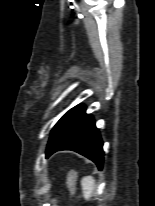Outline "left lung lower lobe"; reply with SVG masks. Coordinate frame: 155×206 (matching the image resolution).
I'll list each match as a JSON object with an SVG mask.
<instances>
[{
	"label": "left lung lower lobe",
	"instance_id": "0a47b994",
	"mask_svg": "<svg viewBox=\"0 0 155 206\" xmlns=\"http://www.w3.org/2000/svg\"><path fill=\"white\" fill-rule=\"evenodd\" d=\"M103 142L95 121L90 114L84 116L53 145L46 150V157L56 151L73 150L96 163L99 169L103 167Z\"/></svg>",
	"mask_w": 155,
	"mask_h": 206
}]
</instances>
